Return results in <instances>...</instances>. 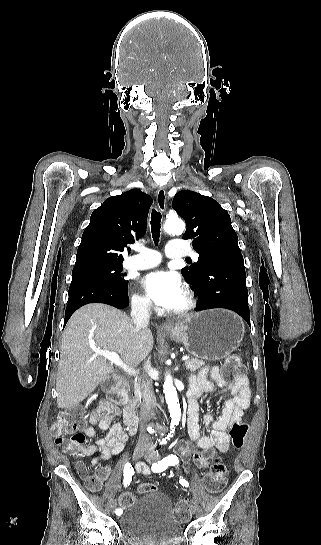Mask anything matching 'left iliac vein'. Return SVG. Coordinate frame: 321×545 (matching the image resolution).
<instances>
[{
    "instance_id": "4c4485c4",
    "label": "left iliac vein",
    "mask_w": 321,
    "mask_h": 545,
    "mask_svg": "<svg viewBox=\"0 0 321 545\" xmlns=\"http://www.w3.org/2000/svg\"><path fill=\"white\" fill-rule=\"evenodd\" d=\"M145 458L151 464L157 462L160 459L158 454H154V453H150V452H147L145 454ZM197 508H198L197 502L194 499H191V501H190V510H191V512L196 513Z\"/></svg>"
}]
</instances>
